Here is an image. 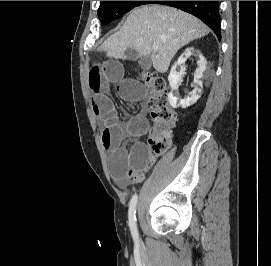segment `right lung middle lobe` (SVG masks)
<instances>
[{
  "instance_id": "right-lung-middle-lobe-1",
  "label": "right lung middle lobe",
  "mask_w": 271,
  "mask_h": 266,
  "mask_svg": "<svg viewBox=\"0 0 271 266\" xmlns=\"http://www.w3.org/2000/svg\"><path fill=\"white\" fill-rule=\"evenodd\" d=\"M152 1H101L98 16L101 25H106L115 19L121 18L133 8L150 4Z\"/></svg>"
}]
</instances>
